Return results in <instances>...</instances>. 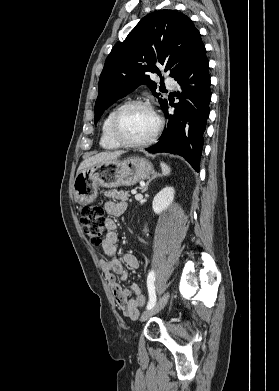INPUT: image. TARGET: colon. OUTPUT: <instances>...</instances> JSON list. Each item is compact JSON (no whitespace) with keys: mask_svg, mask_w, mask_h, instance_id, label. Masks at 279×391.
Masks as SVG:
<instances>
[{"mask_svg":"<svg viewBox=\"0 0 279 391\" xmlns=\"http://www.w3.org/2000/svg\"><path fill=\"white\" fill-rule=\"evenodd\" d=\"M81 225L90 242L99 246L103 240V232L105 228L104 209L100 205H88L82 209ZM138 306L144 307L145 297L139 295L137 298Z\"/></svg>","mask_w":279,"mask_h":391,"instance_id":"1","label":"colon"}]
</instances>
